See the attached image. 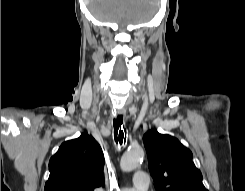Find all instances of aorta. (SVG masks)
Instances as JSON below:
<instances>
[{"mask_svg":"<svg viewBox=\"0 0 245 191\" xmlns=\"http://www.w3.org/2000/svg\"><path fill=\"white\" fill-rule=\"evenodd\" d=\"M144 157V151L140 146H133L122 156L120 167L124 172H130L138 167Z\"/></svg>","mask_w":245,"mask_h":191,"instance_id":"762f6f07","label":"aorta"}]
</instances>
